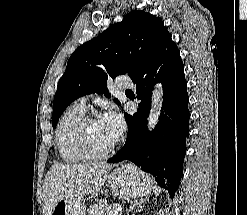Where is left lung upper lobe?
Masks as SVG:
<instances>
[{
	"mask_svg": "<svg viewBox=\"0 0 247 215\" xmlns=\"http://www.w3.org/2000/svg\"><path fill=\"white\" fill-rule=\"evenodd\" d=\"M169 39L171 34L160 18L134 10L122 22L78 47L57 86L52 126L56 127L63 111L78 97L105 92L109 77L128 74L133 79L143 72ZM105 96L110 97L109 92Z\"/></svg>",
	"mask_w": 247,
	"mask_h": 215,
	"instance_id": "left-lung-upper-lobe-1",
	"label": "left lung upper lobe"
}]
</instances>
